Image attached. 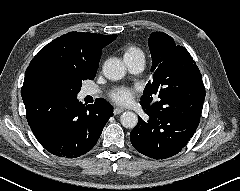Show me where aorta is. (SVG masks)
<instances>
[{"instance_id":"762f6f07","label":"aorta","mask_w":240,"mask_h":191,"mask_svg":"<svg viewBox=\"0 0 240 191\" xmlns=\"http://www.w3.org/2000/svg\"><path fill=\"white\" fill-rule=\"evenodd\" d=\"M104 76L112 81L122 79L126 74V68L122 61L117 58H110L103 65ZM120 122L123 127L132 129L138 123V117L135 113L127 111L120 117Z\"/></svg>"}]
</instances>
